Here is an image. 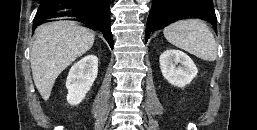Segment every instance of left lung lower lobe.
<instances>
[{"mask_svg": "<svg viewBox=\"0 0 257 130\" xmlns=\"http://www.w3.org/2000/svg\"><path fill=\"white\" fill-rule=\"evenodd\" d=\"M186 18L208 21L216 30L217 18L211 0H153L146 25L145 43L151 32Z\"/></svg>", "mask_w": 257, "mask_h": 130, "instance_id": "1", "label": "left lung lower lobe"}]
</instances>
